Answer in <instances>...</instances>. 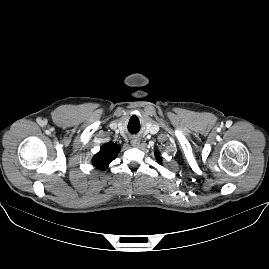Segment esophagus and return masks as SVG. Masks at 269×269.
Instances as JSON below:
<instances>
[{
	"label": "esophagus",
	"mask_w": 269,
	"mask_h": 269,
	"mask_svg": "<svg viewBox=\"0 0 269 269\" xmlns=\"http://www.w3.org/2000/svg\"><path fill=\"white\" fill-rule=\"evenodd\" d=\"M130 143H131V145H132L133 147H139V145H140V143H141V140H140L139 138H135V139H132V140L130 141Z\"/></svg>",
	"instance_id": "obj_1"
}]
</instances>
